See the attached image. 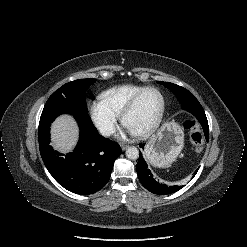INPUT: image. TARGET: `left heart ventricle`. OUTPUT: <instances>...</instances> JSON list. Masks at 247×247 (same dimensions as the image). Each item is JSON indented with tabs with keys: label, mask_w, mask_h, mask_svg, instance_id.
Instances as JSON below:
<instances>
[{
	"label": "left heart ventricle",
	"mask_w": 247,
	"mask_h": 247,
	"mask_svg": "<svg viewBox=\"0 0 247 247\" xmlns=\"http://www.w3.org/2000/svg\"><path fill=\"white\" fill-rule=\"evenodd\" d=\"M161 110V97L155 91L144 93L133 111L126 118V127L133 133L148 128Z\"/></svg>",
	"instance_id": "b2bd125f"
}]
</instances>
